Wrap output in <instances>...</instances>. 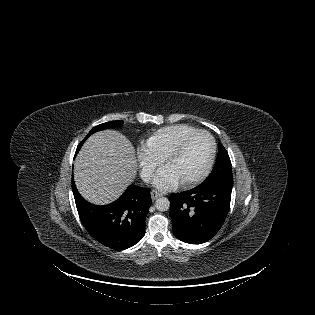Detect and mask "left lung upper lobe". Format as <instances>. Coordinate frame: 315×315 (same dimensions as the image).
Listing matches in <instances>:
<instances>
[{"mask_svg": "<svg viewBox=\"0 0 315 315\" xmlns=\"http://www.w3.org/2000/svg\"><path fill=\"white\" fill-rule=\"evenodd\" d=\"M205 184H233L232 166L229 155L222 144H219V151L215 166L209 177L204 181Z\"/></svg>", "mask_w": 315, "mask_h": 315, "instance_id": "1", "label": "left lung upper lobe"}]
</instances>
